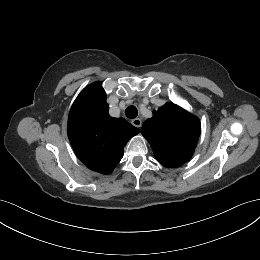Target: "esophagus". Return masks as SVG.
Instances as JSON below:
<instances>
[{
  "mask_svg": "<svg viewBox=\"0 0 260 260\" xmlns=\"http://www.w3.org/2000/svg\"><path fill=\"white\" fill-rule=\"evenodd\" d=\"M131 123L137 128H140L142 126V120L140 118H135L131 120Z\"/></svg>",
  "mask_w": 260,
  "mask_h": 260,
  "instance_id": "obj_1",
  "label": "esophagus"
}]
</instances>
